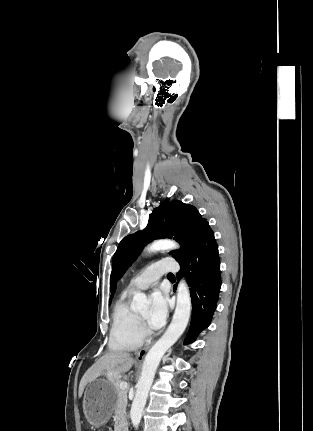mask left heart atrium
<instances>
[{
  "instance_id": "1",
  "label": "left heart atrium",
  "mask_w": 313,
  "mask_h": 431,
  "mask_svg": "<svg viewBox=\"0 0 313 431\" xmlns=\"http://www.w3.org/2000/svg\"><path fill=\"white\" fill-rule=\"evenodd\" d=\"M168 314V305L165 296L156 291L151 295V310L148 317V324L151 329L162 327Z\"/></svg>"
}]
</instances>
